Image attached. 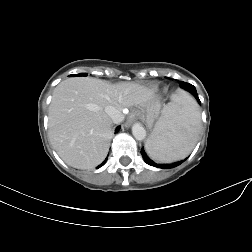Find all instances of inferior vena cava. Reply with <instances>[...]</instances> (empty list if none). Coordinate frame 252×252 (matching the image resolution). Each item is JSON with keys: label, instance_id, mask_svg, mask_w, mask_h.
<instances>
[{"label": "inferior vena cava", "instance_id": "602c4592", "mask_svg": "<svg viewBox=\"0 0 252 252\" xmlns=\"http://www.w3.org/2000/svg\"><path fill=\"white\" fill-rule=\"evenodd\" d=\"M105 112L110 116L114 123H119L124 119L123 114L113 106H107Z\"/></svg>", "mask_w": 252, "mask_h": 252}]
</instances>
